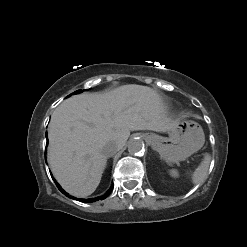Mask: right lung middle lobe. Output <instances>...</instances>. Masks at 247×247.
Listing matches in <instances>:
<instances>
[{
  "mask_svg": "<svg viewBox=\"0 0 247 247\" xmlns=\"http://www.w3.org/2000/svg\"><path fill=\"white\" fill-rule=\"evenodd\" d=\"M82 90L75 91L73 94L80 93Z\"/></svg>",
  "mask_w": 247,
  "mask_h": 247,
  "instance_id": "1",
  "label": "right lung middle lobe"
}]
</instances>
